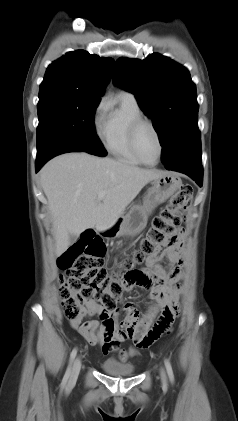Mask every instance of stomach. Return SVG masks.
Masks as SVG:
<instances>
[{
	"label": "stomach",
	"mask_w": 238,
	"mask_h": 421,
	"mask_svg": "<svg viewBox=\"0 0 238 421\" xmlns=\"http://www.w3.org/2000/svg\"><path fill=\"white\" fill-rule=\"evenodd\" d=\"M181 186V179L172 172H164L152 180L151 187L143 199V205L133 206L125 216L119 218L108 229L107 236H132L140 233L147 224L152 208L171 197Z\"/></svg>",
	"instance_id": "1"
}]
</instances>
